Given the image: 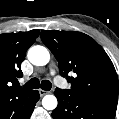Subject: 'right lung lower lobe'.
<instances>
[{"mask_svg": "<svg viewBox=\"0 0 119 119\" xmlns=\"http://www.w3.org/2000/svg\"><path fill=\"white\" fill-rule=\"evenodd\" d=\"M38 100L37 90L0 100V119H29Z\"/></svg>", "mask_w": 119, "mask_h": 119, "instance_id": "obj_1", "label": "right lung lower lobe"}]
</instances>
